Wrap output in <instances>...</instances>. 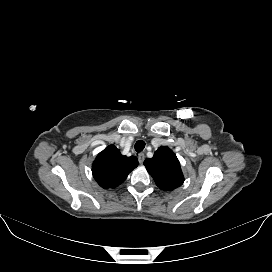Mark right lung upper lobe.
I'll return each mask as SVG.
<instances>
[{
    "label": "right lung upper lobe",
    "instance_id": "1",
    "mask_svg": "<svg viewBox=\"0 0 272 272\" xmlns=\"http://www.w3.org/2000/svg\"><path fill=\"white\" fill-rule=\"evenodd\" d=\"M137 166L135 156H123L114 145H110L97 155L92 173L102 188L109 189L120 185Z\"/></svg>",
    "mask_w": 272,
    "mask_h": 272
}]
</instances>
